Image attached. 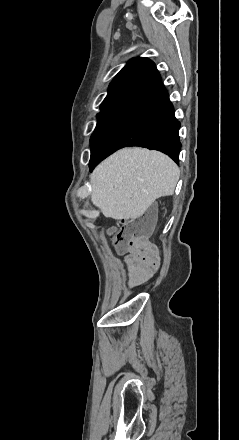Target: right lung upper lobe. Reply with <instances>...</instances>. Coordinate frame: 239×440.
Instances as JSON below:
<instances>
[{"label":"right lung upper lobe","mask_w":239,"mask_h":440,"mask_svg":"<svg viewBox=\"0 0 239 440\" xmlns=\"http://www.w3.org/2000/svg\"><path fill=\"white\" fill-rule=\"evenodd\" d=\"M161 77L155 64L148 58H133L115 76L103 103L115 100H132L152 90Z\"/></svg>","instance_id":"right-lung-upper-lobe-1"}]
</instances>
